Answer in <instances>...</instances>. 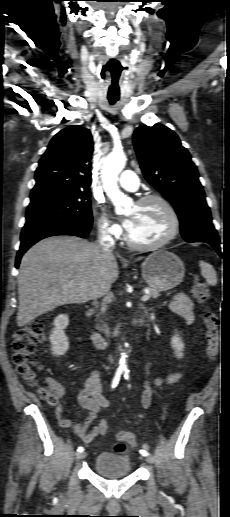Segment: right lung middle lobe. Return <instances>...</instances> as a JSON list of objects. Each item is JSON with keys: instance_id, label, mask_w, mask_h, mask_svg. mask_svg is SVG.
<instances>
[{"instance_id": "1", "label": "right lung middle lobe", "mask_w": 230, "mask_h": 517, "mask_svg": "<svg viewBox=\"0 0 230 517\" xmlns=\"http://www.w3.org/2000/svg\"><path fill=\"white\" fill-rule=\"evenodd\" d=\"M46 218L92 222L90 191L77 190L31 199L27 207L26 222Z\"/></svg>"}]
</instances>
